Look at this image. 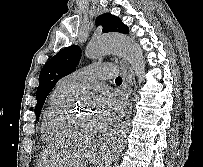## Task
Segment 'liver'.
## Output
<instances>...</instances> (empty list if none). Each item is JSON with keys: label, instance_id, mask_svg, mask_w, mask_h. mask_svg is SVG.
<instances>
[{"label": "liver", "instance_id": "6515ba94", "mask_svg": "<svg viewBox=\"0 0 203 167\" xmlns=\"http://www.w3.org/2000/svg\"><path fill=\"white\" fill-rule=\"evenodd\" d=\"M96 146H66L60 150H45L41 153L37 167H86L88 162H100Z\"/></svg>", "mask_w": 203, "mask_h": 167}]
</instances>
